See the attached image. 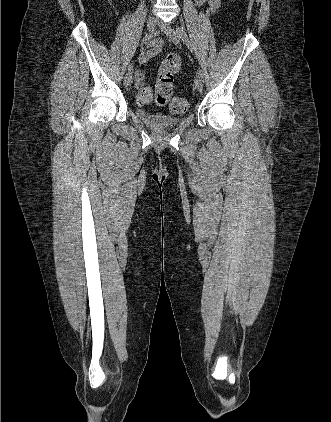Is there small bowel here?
I'll list each match as a JSON object with an SVG mask.
<instances>
[{"label": "small bowel", "mask_w": 331, "mask_h": 422, "mask_svg": "<svg viewBox=\"0 0 331 422\" xmlns=\"http://www.w3.org/2000/svg\"><path fill=\"white\" fill-rule=\"evenodd\" d=\"M208 3L206 9L208 14H213L221 5V0H195V4L198 7H202L205 3ZM163 47V41L157 39L153 42L145 44V50L139 56V62L145 63L158 55ZM136 89L138 91L137 102L142 105L140 97H147L151 99V88L144 84L143 77L138 75L136 79ZM147 104V103H146Z\"/></svg>", "instance_id": "c3829d8e"}]
</instances>
